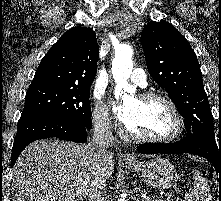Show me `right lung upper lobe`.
Masks as SVG:
<instances>
[{
  "label": "right lung upper lobe",
  "instance_id": "cb5924a9",
  "mask_svg": "<svg viewBox=\"0 0 221 201\" xmlns=\"http://www.w3.org/2000/svg\"><path fill=\"white\" fill-rule=\"evenodd\" d=\"M98 52L91 28L70 29L41 60L29 88L89 89L96 76Z\"/></svg>",
  "mask_w": 221,
  "mask_h": 201
}]
</instances>
